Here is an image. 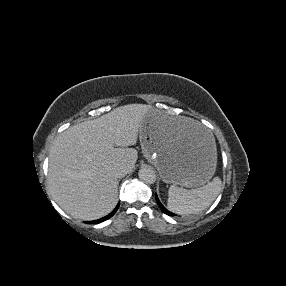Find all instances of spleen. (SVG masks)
Listing matches in <instances>:
<instances>
[{"label": "spleen", "mask_w": 286, "mask_h": 286, "mask_svg": "<svg viewBox=\"0 0 286 286\" xmlns=\"http://www.w3.org/2000/svg\"><path fill=\"white\" fill-rule=\"evenodd\" d=\"M222 188L219 177L213 178L208 184L186 190L171 185L168 190L167 207L170 211L178 214H192L209 207L216 199Z\"/></svg>", "instance_id": "3e777b00"}]
</instances>
